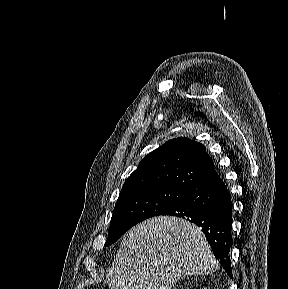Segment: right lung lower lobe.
Returning <instances> with one entry per match:
<instances>
[{"label":"right lung lower lobe","instance_id":"98d812e1","mask_svg":"<svg viewBox=\"0 0 288 289\" xmlns=\"http://www.w3.org/2000/svg\"><path fill=\"white\" fill-rule=\"evenodd\" d=\"M161 215L186 218L200 226L215 257L232 277V203L227 187L215 169L190 186L184 196Z\"/></svg>","mask_w":288,"mask_h":289}]
</instances>
